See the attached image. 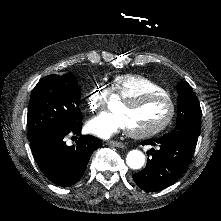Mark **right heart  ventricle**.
Returning <instances> with one entry per match:
<instances>
[{"label":"right heart ventricle","instance_id":"obj_1","mask_svg":"<svg viewBox=\"0 0 221 221\" xmlns=\"http://www.w3.org/2000/svg\"><path fill=\"white\" fill-rule=\"evenodd\" d=\"M121 84L120 93L122 99L125 97L139 98L143 95L149 96L152 94L162 97L169 93L164 88L166 86L145 76H126L122 79Z\"/></svg>","mask_w":221,"mask_h":221}]
</instances>
